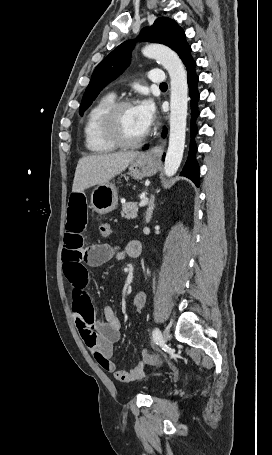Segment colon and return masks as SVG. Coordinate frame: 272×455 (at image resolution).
Returning a JSON list of instances; mask_svg holds the SVG:
<instances>
[{
	"label": "colon",
	"instance_id": "1",
	"mask_svg": "<svg viewBox=\"0 0 272 455\" xmlns=\"http://www.w3.org/2000/svg\"><path fill=\"white\" fill-rule=\"evenodd\" d=\"M99 233L103 238H107L111 234V226L106 221H101L99 223ZM141 358L145 363H154L157 358L156 355L148 350L141 351Z\"/></svg>",
	"mask_w": 272,
	"mask_h": 455
}]
</instances>
